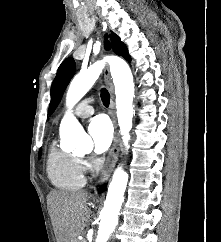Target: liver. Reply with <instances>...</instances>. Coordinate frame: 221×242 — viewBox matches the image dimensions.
Returning a JSON list of instances; mask_svg holds the SVG:
<instances>
[{"mask_svg":"<svg viewBox=\"0 0 221 242\" xmlns=\"http://www.w3.org/2000/svg\"><path fill=\"white\" fill-rule=\"evenodd\" d=\"M85 191H52L47 197L57 242H78L90 216Z\"/></svg>","mask_w":221,"mask_h":242,"instance_id":"6515ba94","label":"liver"}]
</instances>
